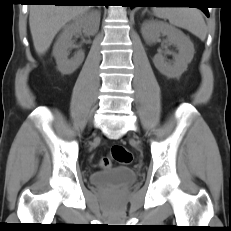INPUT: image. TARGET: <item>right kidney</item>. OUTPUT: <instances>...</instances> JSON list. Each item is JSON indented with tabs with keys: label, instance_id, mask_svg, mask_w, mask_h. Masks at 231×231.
Instances as JSON below:
<instances>
[{
	"label": "right kidney",
	"instance_id": "right-kidney-1",
	"mask_svg": "<svg viewBox=\"0 0 231 231\" xmlns=\"http://www.w3.org/2000/svg\"><path fill=\"white\" fill-rule=\"evenodd\" d=\"M99 25L100 13L92 11L77 17L71 24L64 28L53 48V56L62 74H72L84 60V53L82 51H78L74 57L68 59V49L73 44L72 37L81 30L89 34H94L99 30Z\"/></svg>",
	"mask_w": 231,
	"mask_h": 231
}]
</instances>
